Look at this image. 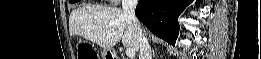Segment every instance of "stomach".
I'll use <instances>...</instances> for the list:
<instances>
[{
  "instance_id": "obj_1",
  "label": "stomach",
  "mask_w": 261,
  "mask_h": 59,
  "mask_svg": "<svg viewBox=\"0 0 261 59\" xmlns=\"http://www.w3.org/2000/svg\"><path fill=\"white\" fill-rule=\"evenodd\" d=\"M102 59H110L112 57V53L109 50H104L101 54Z\"/></svg>"
}]
</instances>
